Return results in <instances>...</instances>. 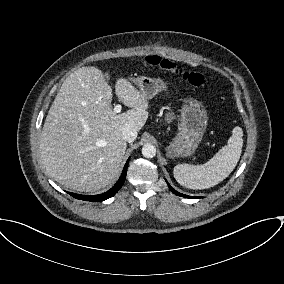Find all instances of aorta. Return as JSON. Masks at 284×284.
I'll return each instance as SVG.
<instances>
[{
    "mask_svg": "<svg viewBox=\"0 0 284 284\" xmlns=\"http://www.w3.org/2000/svg\"><path fill=\"white\" fill-rule=\"evenodd\" d=\"M142 155L145 158H153L156 155V147L152 144H145L142 147Z\"/></svg>",
    "mask_w": 284,
    "mask_h": 284,
    "instance_id": "762f6f07",
    "label": "aorta"
}]
</instances>
